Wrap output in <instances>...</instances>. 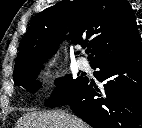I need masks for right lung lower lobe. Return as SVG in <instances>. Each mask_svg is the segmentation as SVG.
Masks as SVG:
<instances>
[{"instance_id": "1", "label": "right lung lower lobe", "mask_w": 142, "mask_h": 128, "mask_svg": "<svg viewBox=\"0 0 142 128\" xmlns=\"http://www.w3.org/2000/svg\"><path fill=\"white\" fill-rule=\"evenodd\" d=\"M92 67L105 83L99 89L85 78L68 103L72 111L93 128H142V44Z\"/></svg>"}]
</instances>
